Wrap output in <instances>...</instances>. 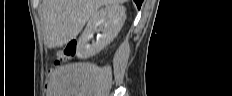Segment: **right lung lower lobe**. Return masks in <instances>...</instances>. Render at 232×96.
<instances>
[{"label":"right lung lower lobe","instance_id":"right-lung-lower-lobe-1","mask_svg":"<svg viewBox=\"0 0 232 96\" xmlns=\"http://www.w3.org/2000/svg\"><path fill=\"white\" fill-rule=\"evenodd\" d=\"M134 2L136 3L138 9H140L143 0H134Z\"/></svg>","mask_w":232,"mask_h":96}]
</instances>
